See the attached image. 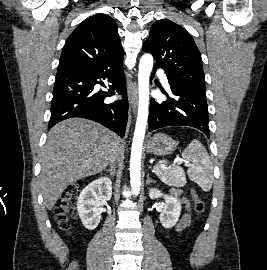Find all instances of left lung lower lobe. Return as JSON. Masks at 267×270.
Instances as JSON below:
<instances>
[{
	"mask_svg": "<svg viewBox=\"0 0 267 270\" xmlns=\"http://www.w3.org/2000/svg\"><path fill=\"white\" fill-rule=\"evenodd\" d=\"M157 69V68H156ZM173 98L162 103L151 100L148 131L166 126H191L210 137L206 97L170 86Z\"/></svg>",
	"mask_w": 267,
	"mask_h": 270,
	"instance_id": "0a47b994",
	"label": "left lung lower lobe"
}]
</instances>
